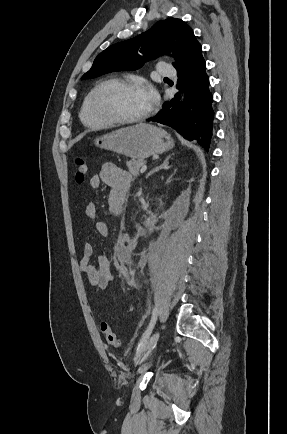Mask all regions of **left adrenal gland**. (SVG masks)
Returning <instances> with one entry per match:
<instances>
[{
  "instance_id": "left-adrenal-gland-1",
  "label": "left adrenal gland",
  "mask_w": 287,
  "mask_h": 434,
  "mask_svg": "<svg viewBox=\"0 0 287 434\" xmlns=\"http://www.w3.org/2000/svg\"><path fill=\"white\" fill-rule=\"evenodd\" d=\"M170 158H171L170 155L167 156L166 159L164 160V162H163L160 166H158V167L152 169V170L148 173L147 177L151 176L152 174H154L155 172H158V171L161 170V169H168V168L170 167V166H169V159H170Z\"/></svg>"
}]
</instances>
